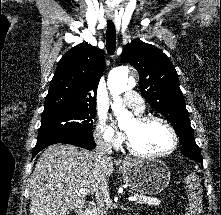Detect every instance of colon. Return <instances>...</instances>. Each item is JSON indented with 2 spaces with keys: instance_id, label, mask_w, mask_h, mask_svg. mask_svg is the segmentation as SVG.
<instances>
[{
  "instance_id": "1",
  "label": "colon",
  "mask_w": 221,
  "mask_h": 215,
  "mask_svg": "<svg viewBox=\"0 0 221 215\" xmlns=\"http://www.w3.org/2000/svg\"><path fill=\"white\" fill-rule=\"evenodd\" d=\"M187 204L184 215H201L203 209V190L200 176L192 172L186 177Z\"/></svg>"
}]
</instances>
